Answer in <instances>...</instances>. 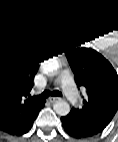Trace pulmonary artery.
<instances>
[{
    "mask_svg": "<svg viewBox=\"0 0 118 142\" xmlns=\"http://www.w3.org/2000/svg\"><path fill=\"white\" fill-rule=\"evenodd\" d=\"M63 81L65 82V80H63ZM66 91H67L68 95L73 99L74 98L73 91L71 89H69V88H66Z\"/></svg>",
    "mask_w": 118,
    "mask_h": 142,
    "instance_id": "obj_1",
    "label": "pulmonary artery"
}]
</instances>
